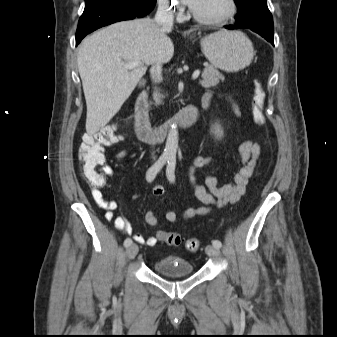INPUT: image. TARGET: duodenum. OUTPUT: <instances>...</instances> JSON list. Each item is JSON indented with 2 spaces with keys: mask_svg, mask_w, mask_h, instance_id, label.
<instances>
[{
  "mask_svg": "<svg viewBox=\"0 0 337 337\" xmlns=\"http://www.w3.org/2000/svg\"><path fill=\"white\" fill-rule=\"evenodd\" d=\"M148 94L142 91L136 101V132L140 139L144 141H160L173 128H185L194 125L200 118L202 111L207 106L201 104L189 105L171 120L157 126H152L148 118Z\"/></svg>",
  "mask_w": 337,
  "mask_h": 337,
  "instance_id": "410a0bca",
  "label": "duodenum"
}]
</instances>
